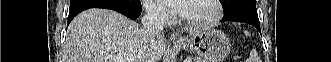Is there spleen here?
<instances>
[{
  "label": "spleen",
  "mask_w": 331,
  "mask_h": 62,
  "mask_svg": "<svg viewBox=\"0 0 331 62\" xmlns=\"http://www.w3.org/2000/svg\"><path fill=\"white\" fill-rule=\"evenodd\" d=\"M244 34L246 36H250V33L248 31H245ZM256 60H257V53L255 50H252L250 52V57L248 58L247 62H256Z\"/></svg>",
  "instance_id": "3e777b00"
}]
</instances>
